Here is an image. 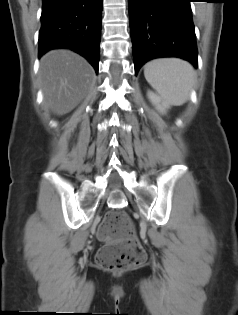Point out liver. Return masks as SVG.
Returning a JSON list of instances; mask_svg holds the SVG:
<instances>
[{"mask_svg":"<svg viewBox=\"0 0 238 315\" xmlns=\"http://www.w3.org/2000/svg\"><path fill=\"white\" fill-rule=\"evenodd\" d=\"M40 80L46 105L57 115L70 112L88 93L94 70L70 50H52L40 61Z\"/></svg>","mask_w":238,"mask_h":315,"instance_id":"obj_1","label":"liver"}]
</instances>
